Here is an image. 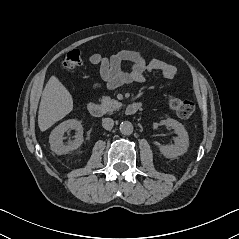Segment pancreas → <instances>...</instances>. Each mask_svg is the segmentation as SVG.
Instances as JSON below:
<instances>
[{"mask_svg": "<svg viewBox=\"0 0 239 239\" xmlns=\"http://www.w3.org/2000/svg\"><path fill=\"white\" fill-rule=\"evenodd\" d=\"M100 101L107 112H113L114 110L119 109L122 106L120 102L111 99L109 96H103Z\"/></svg>", "mask_w": 239, "mask_h": 239, "instance_id": "cf45deb5", "label": "pancreas"}]
</instances>
